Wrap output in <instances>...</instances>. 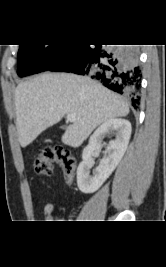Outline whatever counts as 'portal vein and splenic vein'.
<instances>
[{
  "mask_svg": "<svg viewBox=\"0 0 166 267\" xmlns=\"http://www.w3.org/2000/svg\"><path fill=\"white\" fill-rule=\"evenodd\" d=\"M76 120L75 115L67 114V121L74 122Z\"/></svg>",
  "mask_w": 166,
  "mask_h": 267,
  "instance_id": "portal-vein-and-splenic-vein-1",
  "label": "portal vein and splenic vein"
}]
</instances>
